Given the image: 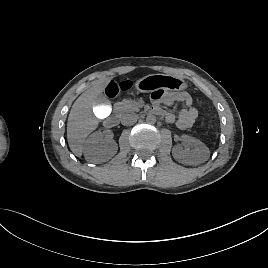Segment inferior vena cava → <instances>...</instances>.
I'll return each instance as SVG.
<instances>
[{
  "mask_svg": "<svg viewBox=\"0 0 268 268\" xmlns=\"http://www.w3.org/2000/svg\"><path fill=\"white\" fill-rule=\"evenodd\" d=\"M137 119H138L137 114L127 113L122 117L121 123L125 126L133 125L137 121Z\"/></svg>",
  "mask_w": 268,
  "mask_h": 268,
  "instance_id": "1",
  "label": "inferior vena cava"
}]
</instances>
